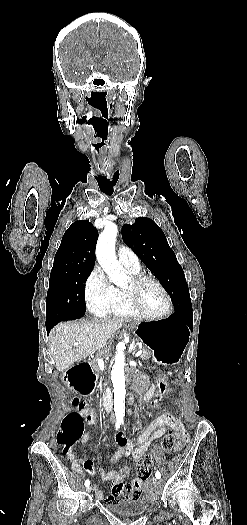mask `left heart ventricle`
I'll return each mask as SVG.
<instances>
[{"label":"left heart ventricle","instance_id":"1","mask_svg":"<svg viewBox=\"0 0 247 525\" xmlns=\"http://www.w3.org/2000/svg\"><path fill=\"white\" fill-rule=\"evenodd\" d=\"M130 290L132 288L131 280L123 287ZM138 296L146 309L156 312L163 309L166 305V298L162 290L152 281L145 280L138 287Z\"/></svg>","mask_w":247,"mask_h":525}]
</instances>
